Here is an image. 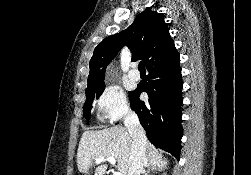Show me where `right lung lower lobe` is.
I'll use <instances>...</instances> for the list:
<instances>
[{
  "label": "right lung lower lobe",
  "instance_id": "98d812e1",
  "mask_svg": "<svg viewBox=\"0 0 251 175\" xmlns=\"http://www.w3.org/2000/svg\"><path fill=\"white\" fill-rule=\"evenodd\" d=\"M149 75L129 93L132 109L148 139L177 160L180 158L183 128L181 122L182 76L179 56L170 62L148 69ZM147 92L148 100L139 98Z\"/></svg>",
  "mask_w": 251,
  "mask_h": 175
}]
</instances>
